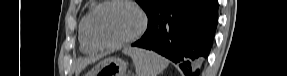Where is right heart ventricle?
<instances>
[{"label":"right heart ventricle","instance_id":"right-heart-ventricle-1","mask_svg":"<svg viewBox=\"0 0 287 76\" xmlns=\"http://www.w3.org/2000/svg\"><path fill=\"white\" fill-rule=\"evenodd\" d=\"M90 12L86 13L80 23L79 26V39H80V48L82 52L87 54L95 53L99 50L88 37L87 34V18Z\"/></svg>","mask_w":287,"mask_h":76}]
</instances>
